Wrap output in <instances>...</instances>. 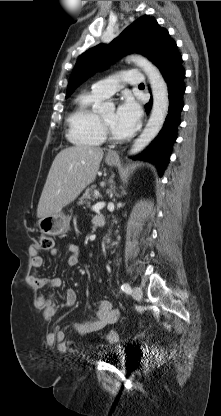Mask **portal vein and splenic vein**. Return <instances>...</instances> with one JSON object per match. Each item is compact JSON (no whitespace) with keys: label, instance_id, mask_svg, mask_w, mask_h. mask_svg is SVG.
<instances>
[{"label":"portal vein and splenic vein","instance_id":"18ae733b","mask_svg":"<svg viewBox=\"0 0 221 416\" xmlns=\"http://www.w3.org/2000/svg\"><path fill=\"white\" fill-rule=\"evenodd\" d=\"M96 194H99L98 192H95ZM105 206L104 202H98L94 206H92L93 210H99L102 209Z\"/></svg>","mask_w":221,"mask_h":416}]
</instances>
